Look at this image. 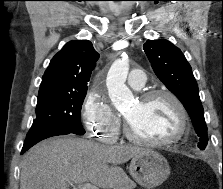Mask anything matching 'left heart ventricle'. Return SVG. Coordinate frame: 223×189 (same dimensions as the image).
I'll list each match as a JSON object with an SVG mask.
<instances>
[{"label": "left heart ventricle", "instance_id": "obj_1", "mask_svg": "<svg viewBox=\"0 0 223 189\" xmlns=\"http://www.w3.org/2000/svg\"><path fill=\"white\" fill-rule=\"evenodd\" d=\"M124 116L136 134L151 139L170 138L180 126L178 111L167 97L136 101Z\"/></svg>", "mask_w": 223, "mask_h": 189}]
</instances>
